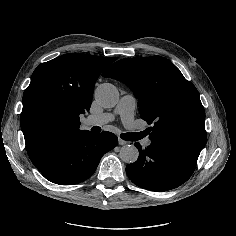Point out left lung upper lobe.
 <instances>
[{
	"instance_id": "obj_1",
	"label": "left lung upper lobe",
	"mask_w": 236,
	"mask_h": 236,
	"mask_svg": "<svg viewBox=\"0 0 236 236\" xmlns=\"http://www.w3.org/2000/svg\"><path fill=\"white\" fill-rule=\"evenodd\" d=\"M102 76L117 79L134 92L141 118L153 126L145 130L150 140L199 156L206 143L204 107L195 86L168 59H122Z\"/></svg>"
}]
</instances>
